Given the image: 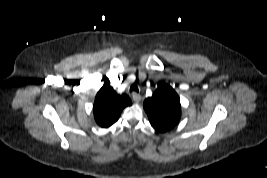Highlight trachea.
I'll use <instances>...</instances> for the list:
<instances>
[{
	"label": "trachea",
	"instance_id": "3493384b",
	"mask_svg": "<svg viewBox=\"0 0 267 178\" xmlns=\"http://www.w3.org/2000/svg\"><path fill=\"white\" fill-rule=\"evenodd\" d=\"M138 86L136 84L131 85L130 92H138Z\"/></svg>",
	"mask_w": 267,
	"mask_h": 178
}]
</instances>
